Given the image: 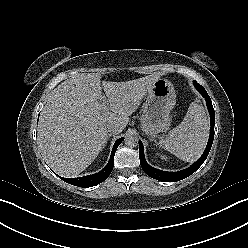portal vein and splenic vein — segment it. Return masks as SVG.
<instances>
[{
	"label": "portal vein and splenic vein",
	"instance_id": "obj_1",
	"mask_svg": "<svg viewBox=\"0 0 248 248\" xmlns=\"http://www.w3.org/2000/svg\"><path fill=\"white\" fill-rule=\"evenodd\" d=\"M102 99L105 101V107H104V108L107 109V108H108V107H107L108 101L106 102V97H105V96H103Z\"/></svg>",
	"mask_w": 248,
	"mask_h": 248
}]
</instances>
